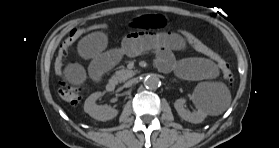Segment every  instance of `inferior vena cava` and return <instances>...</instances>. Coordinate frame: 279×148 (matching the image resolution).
Masks as SVG:
<instances>
[{
	"label": "inferior vena cava",
	"mask_w": 279,
	"mask_h": 148,
	"mask_svg": "<svg viewBox=\"0 0 279 148\" xmlns=\"http://www.w3.org/2000/svg\"><path fill=\"white\" fill-rule=\"evenodd\" d=\"M134 79H132V80H129L128 82H126L125 83V87H130V86H132V84L134 83Z\"/></svg>",
	"instance_id": "obj_1"
}]
</instances>
